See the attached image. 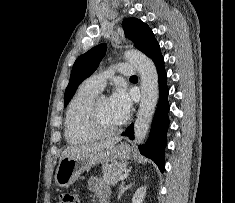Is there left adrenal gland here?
<instances>
[{
	"label": "left adrenal gland",
	"mask_w": 235,
	"mask_h": 203,
	"mask_svg": "<svg viewBox=\"0 0 235 203\" xmlns=\"http://www.w3.org/2000/svg\"><path fill=\"white\" fill-rule=\"evenodd\" d=\"M134 183H130L129 185L125 186V182H122V184L119 187V193H118V200L121 198L122 194L129 189Z\"/></svg>",
	"instance_id": "left-adrenal-gland-1"
}]
</instances>
